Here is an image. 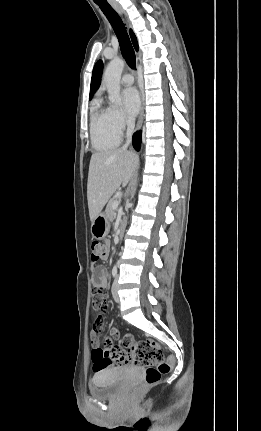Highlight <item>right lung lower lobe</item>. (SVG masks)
<instances>
[{"instance_id": "obj_1", "label": "right lung lower lobe", "mask_w": 261, "mask_h": 431, "mask_svg": "<svg viewBox=\"0 0 261 431\" xmlns=\"http://www.w3.org/2000/svg\"><path fill=\"white\" fill-rule=\"evenodd\" d=\"M140 145H141V132L138 131L133 136V146L137 151H139Z\"/></svg>"}]
</instances>
